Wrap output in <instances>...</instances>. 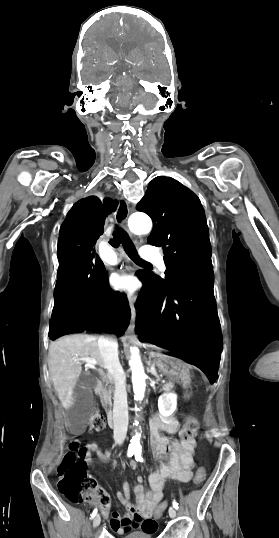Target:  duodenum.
Instances as JSON below:
<instances>
[{
    "label": "duodenum",
    "instance_id": "410a0bca",
    "mask_svg": "<svg viewBox=\"0 0 279 538\" xmlns=\"http://www.w3.org/2000/svg\"><path fill=\"white\" fill-rule=\"evenodd\" d=\"M97 390L99 392H102L104 390V387H105V382H102V381H99L97 383ZM106 413H107V419H106V424H105V427L107 429H112L114 427V424L112 423L113 422V418L115 417V414H114V410L112 408H108L106 410Z\"/></svg>",
    "mask_w": 279,
    "mask_h": 538
}]
</instances>
